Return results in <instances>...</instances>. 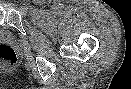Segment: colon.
Listing matches in <instances>:
<instances>
[{"mask_svg": "<svg viewBox=\"0 0 131 89\" xmlns=\"http://www.w3.org/2000/svg\"><path fill=\"white\" fill-rule=\"evenodd\" d=\"M16 62L15 52L7 45H0V65L11 66Z\"/></svg>", "mask_w": 131, "mask_h": 89, "instance_id": "5ec220e1", "label": "colon"}]
</instances>
